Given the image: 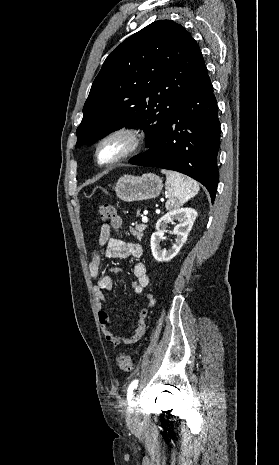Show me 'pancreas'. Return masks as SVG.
<instances>
[{
  "label": "pancreas",
  "instance_id": "obj_1",
  "mask_svg": "<svg viewBox=\"0 0 279 465\" xmlns=\"http://www.w3.org/2000/svg\"><path fill=\"white\" fill-rule=\"evenodd\" d=\"M146 229L145 224L141 225H136L135 228H130V232L132 233L133 236H136L138 239H141L143 237V232Z\"/></svg>",
  "mask_w": 279,
  "mask_h": 465
}]
</instances>
